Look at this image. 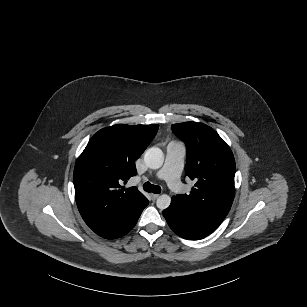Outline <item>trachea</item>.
Listing matches in <instances>:
<instances>
[{
    "mask_svg": "<svg viewBox=\"0 0 307 307\" xmlns=\"http://www.w3.org/2000/svg\"><path fill=\"white\" fill-rule=\"evenodd\" d=\"M143 189L149 193L159 194L161 192V187L158 185H152L150 182H145L143 184Z\"/></svg>",
    "mask_w": 307,
    "mask_h": 307,
    "instance_id": "obj_1",
    "label": "trachea"
}]
</instances>
